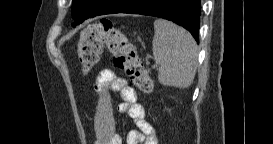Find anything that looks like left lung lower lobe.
Returning <instances> with one entry per match:
<instances>
[{"label": "left lung lower lobe", "instance_id": "obj_1", "mask_svg": "<svg viewBox=\"0 0 273 144\" xmlns=\"http://www.w3.org/2000/svg\"><path fill=\"white\" fill-rule=\"evenodd\" d=\"M72 14L73 26L85 19L113 13H131L164 18L186 28L199 42L201 0H96L91 7Z\"/></svg>", "mask_w": 273, "mask_h": 144}]
</instances>
